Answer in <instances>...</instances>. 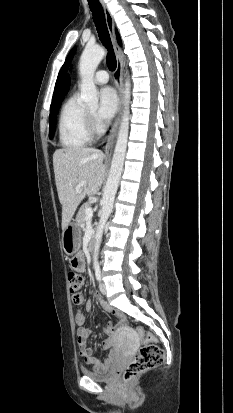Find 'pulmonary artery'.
I'll return each mask as SVG.
<instances>
[{"mask_svg": "<svg viewBox=\"0 0 233 413\" xmlns=\"http://www.w3.org/2000/svg\"><path fill=\"white\" fill-rule=\"evenodd\" d=\"M109 80V74L105 70H100L96 72L94 76V81L97 84H105Z\"/></svg>", "mask_w": 233, "mask_h": 413, "instance_id": "e3ab8cb5", "label": "pulmonary artery"}]
</instances>
